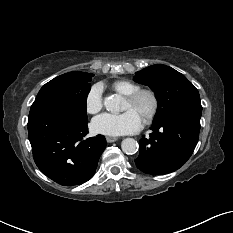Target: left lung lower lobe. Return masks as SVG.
<instances>
[{"instance_id": "left-lung-lower-lobe-1", "label": "left lung lower lobe", "mask_w": 233, "mask_h": 233, "mask_svg": "<svg viewBox=\"0 0 233 233\" xmlns=\"http://www.w3.org/2000/svg\"><path fill=\"white\" fill-rule=\"evenodd\" d=\"M201 112L185 110L154 120L150 137L140 141L135 160L142 172L161 175L173 172L192 155L199 138Z\"/></svg>"}]
</instances>
